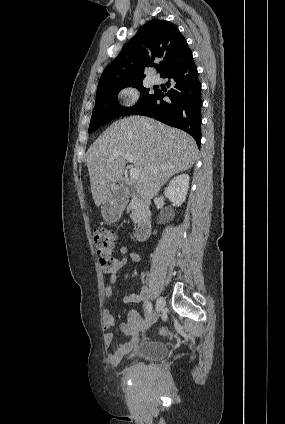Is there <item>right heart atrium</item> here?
I'll use <instances>...</instances> for the list:
<instances>
[{"instance_id": "obj_1", "label": "right heart atrium", "mask_w": 285, "mask_h": 424, "mask_svg": "<svg viewBox=\"0 0 285 424\" xmlns=\"http://www.w3.org/2000/svg\"><path fill=\"white\" fill-rule=\"evenodd\" d=\"M118 99L124 108L135 105L139 99V92L133 86H125L118 91Z\"/></svg>"}]
</instances>
